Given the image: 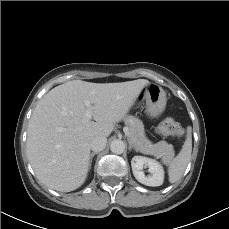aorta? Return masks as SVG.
<instances>
[{
    "label": "aorta",
    "instance_id": "762f6f07",
    "mask_svg": "<svg viewBox=\"0 0 229 229\" xmlns=\"http://www.w3.org/2000/svg\"><path fill=\"white\" fill-rule=\"evenodd\" d=\"M125 148V143L119 139L113 140L110 145V150L114 154H122Z\"/></svg>",
    "mask_w": 229,
    "mask_h": 229
}]
</instances>
